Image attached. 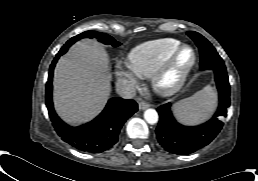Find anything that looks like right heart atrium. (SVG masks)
<instances>
[{"instance_id":"1","label":"right heart atrium","mask_w":258,"mask_h":181,"mask_svg":"<svg viewBox=\"0 0 258 181\" xmlns=\"http://www.w3.org/2000/svg\"><path fill=\"white\" fill-rule=\"evenodd\" d=\"M115 75L127 91H131L138 86L139 82L136 75L120 64H117L115 67Z\"/></svg>"}]
</instances>
